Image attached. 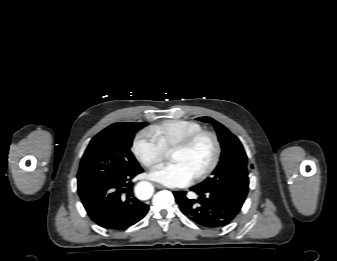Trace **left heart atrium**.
Returning a JSON list of instances; mask_svg holds the SVG:
<instances>
[{
  "label": "left heart atrium",
  "instance_id": "left-heart-atrium-1",
  "mask_svg": "<svg viewBox=\"0 0 337 261\" xmlns=\"http://www.w3.org/2000/svg\"><path fill=\"white\" fill-rule=\"evenodd\" d=\"M149 175L152 180L168 187H185L194 179L192 172L180 162L158 165Z\"/></svg>",
  "mask_w": 337,
  "mask_h": 261
}]
</instances>
